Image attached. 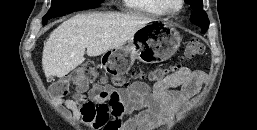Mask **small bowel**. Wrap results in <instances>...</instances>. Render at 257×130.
I'll return each instance as SVG.
<instances>
[{
  "label": "small bowel",
  "mask_w": 257,
  "mask_h": 130,
  "mask_svg": "<svg viewBox=\"0 0 257 130\" xmlns=\"http://www.w3.org/2000/svg\"><path fill=\"white\" fill-rule=\"evenodd\" d=\"M204 82L201 71L180 67L152 88L141 81L121 89L96 83L87 97H52V103L92 130H156L185 108Z\"/></svg>",
  "instance_id": "small-bowel-1"
}]
</instances>
